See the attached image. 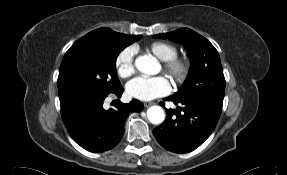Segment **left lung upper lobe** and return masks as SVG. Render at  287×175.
<instances>
[{
	"instance_id": "5c2ea615",
	"label": "left lung upper lobe",
	"mask_w": 287,
	"mask_h": 175,
	"mask_svg": "<svg viewBox=\"0 0 287 175\" xmlns=\"http://www.w3.org/2000/svg\"><path fill=\"white\" fill-rule=\"evenodd\" d=\"M154 38L170 39L181 43L188 51L191 61L189 76L181 89L173 96L206 101L222 109L225 78L219 54L203 36L188 28L157 34Z\"/></svg>"
}]
</instances>
